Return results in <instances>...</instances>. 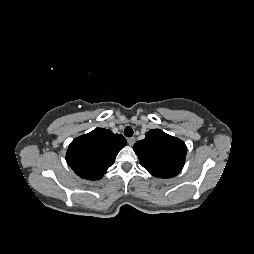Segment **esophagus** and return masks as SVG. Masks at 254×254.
<instances>
[{
	"instance_id": "obj_1",
	"label": "esophagus",
	"mask_w": 254,
	"mask_h": 254,
	"mask_svg": "<svg viewBox=\"0 0 254 254\" xmlns=\"http://www.w3.org/2000/svg\"><path fill=\"white\" fill-rule=\"evenodd\" d=\"M135 141H136V140H135L134 137H130V138L127 139V142H128V144H129L130 146L134 145Z\"/></svg>"
}]
</instances>
